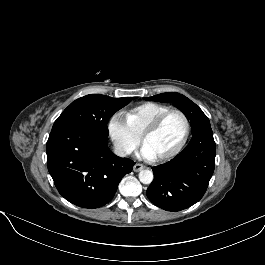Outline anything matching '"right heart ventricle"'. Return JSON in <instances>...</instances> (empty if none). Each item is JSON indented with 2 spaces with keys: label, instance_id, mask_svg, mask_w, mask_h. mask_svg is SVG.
<instances>
[{
  "label": "right heart ventricle",
  "instance_id": "obj_1",
  "mask_svg": "<svg viewBox=\"0 0 265 265\" xmlns=\"http://www.w3.org/2000/svg\"><path fill=\"white\" fill-rule=\"evenodd\" d=\"M169 110L167 106L157 103H143L125 113V120L131 130L141 136L148 125L159 115Z\"/></svg>",
  "mask_w": 265,
  "mask_h": 265
}]
</instances>
